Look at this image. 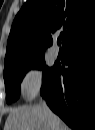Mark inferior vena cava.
Returning <instances> with one entry per match:
<instances>
[{
	"label": "inferior vena cava",
	"mask_w": 95,
	"mask_h": 130,
	"mask_svg": "<svg viewBox=\"0 0 95 130\" xmlns=\"http://www.w3.org/2000/svg\"><path fill=\"white\" fill-rule=\"evenodd\" d=\"M43 108H44V110L48 113V114H50L51 115V110L49 109V107L47 106V104H46V102L44 101L43 102Z\"/></svg>",
	"instance_id": "obj_1"
}]
</instances>
